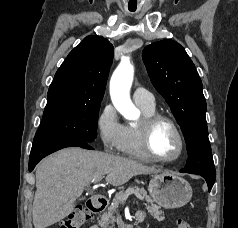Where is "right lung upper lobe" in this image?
<instances>
[{
    "mask_svg": "<svg viewBox=\"0 0 238 228\" xmlns=\"http://www.w3.org/2000/svg\"><path fill=\"white\" fill-rule=\"evenodd\" d=\"M113 54V45L107 39L84 38L56 72L44 114L67 107L100 105Z\"/></svg>",
    "mask_w": 238,
    "mask_h": 228,
    "instance_id": "right-lung-upper-lobe-1",
    "label": "right lung upper lobe"
}]
</instances>
